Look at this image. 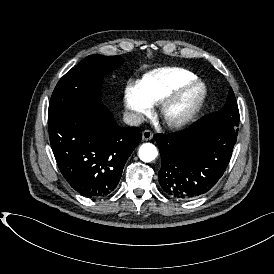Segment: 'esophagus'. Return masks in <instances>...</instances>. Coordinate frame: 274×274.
<instances>
[{"label":"esophagus","instance_id":"esophagus-1","mask_svg":"<svg viewBox=\"0 0 274 274\" xmlns=\"http://www.w3.org/2000/svg\"><path fill=\"white\" fill-rule=\"evenodd\" d=\"M153 137V132L151 130H144L142 133V138L144 141H148L152 139Z\"/></svg>","mask_w":274,"mask_h":274}]
</instances>
